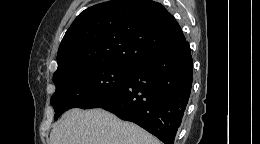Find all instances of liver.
Instances as JSON below:
<instances>
[{
	"label": "liver",
	"instance_id": "1",
	"mask_svg": "<svg viewBox=\"0 0 260 144\" xmlns=\"http://www.w3.org/2000/svg\"><path fill=\"white\" fill-rule=\"evenodd\" d=\"M50 144H161L134 123L102 109H71L50 133Z\"/></svg>",
	"mask_w": 260,
	"mask_h": 144
}]
</instances>
